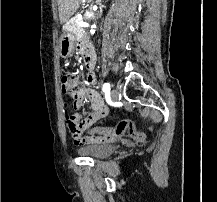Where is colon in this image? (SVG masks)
<instances>
[{
    "instance_id": "colon-1",
    "label": "colon",
    "mask_w": 217,
    "mask_h": 202,
    "mask_svg": "<svg viewBox=\"0 0 217 202\" xmlns=\"http://www.w3.org/2000/svg\"><path fill=\"white\" fill-rule=\"evenodd\" d=\"M76 79H78L76 74L67 73L61 80L62 92L72 95L75 101L77 93L74 92L73 82H76ZM66 126L68 131H76L74 128L77 125L73 115L66 117ZM149 130L152 132L154 129L151 127ZM92 132H115L116 135H130L134 140H145L147 138L145 135H142V131H137L134 128L130 119H122L117 127H91V129H87L85 136L88 138Z\"/></svg>"
}]
</instances>
